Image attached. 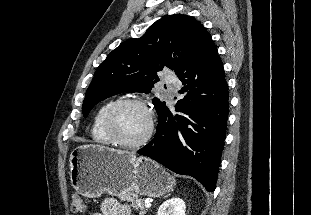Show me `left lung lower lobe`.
Returning a JSON list of instances; mask_svg holds the SVG:
<instances>
[{
    "label": "left lung lower lobe",
    "instance_id": "0a47b994",
    "mask_svg": "<svg viewBox=\"0 0 311 215\" xmlns=\"http://www.w3.org/2000/svg\"><path fill=\"white\" fill-rule=\"evenodd\" d=\"M184 87L176 114L158 111L156 134L138 150L178 174L196 178L209 192L216 187L226 136L228 85L222 61L210 36L175 70Z\"/></svg>",
    "mask_w": 311,
    "mask_h": 215
}]
</instances>
